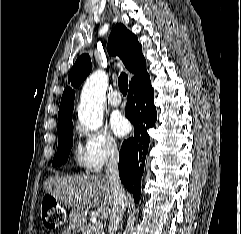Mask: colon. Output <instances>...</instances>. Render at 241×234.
<instances>
[{
	"instance_id": "1",
	"label": "colon",
	"mask_w": 241,
	"mask_h": 234,
	"mask_svg": "<svg viewBox=\"0 0 241 234\" xmlns=\"http://www.w3.org/2000/svg\"><path fill=\"white\" fill-rule=\"evenodd\" d=\"M42 222L46 228L55 229L65 221L64 210L52 197H45L42 202Z\"/></svg>"
}]
</instances>
